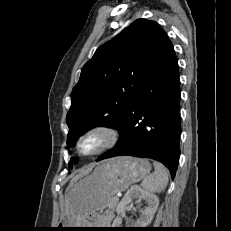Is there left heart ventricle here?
Segmentation results:
<instances>
[{"label":"left heart ventricle","mask_w":231,"mask_h":231,"mask_svg":"<svg viewBox=\"0 0 231 231\" xmlns=\"http://www.w3.org/2000/svg\"><path fill=\"white\" fill-rule=\"evenodd\" d=\"M105 143V137L101 134H93L85 137L80 143L83 153H91L99 149Z\"/></svg>","instance_id":"1"}]
</instances>
